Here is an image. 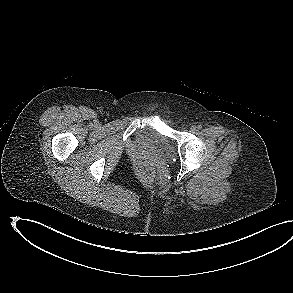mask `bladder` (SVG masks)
Returning a JSON list of instances; mask_svg holds the SVG:
<instances>
[{
	"mask_svg": "<svg viewBox=\"0 0 293 293\" xmlns=\"http://www.w3.org/2000/svg\"><path fill=\"white\" fill-rule=\"evenodd\" d=\"M141 139L144 144L153 148L164 158H168L174 153V147L170 140L155 129H146L143 132Z\"/></svg>",
	"mask_w": 293,
	"mask_h": 293,
	"instance_id": "31cf9c89",
	"label": "bladder"
}]
</instances>
